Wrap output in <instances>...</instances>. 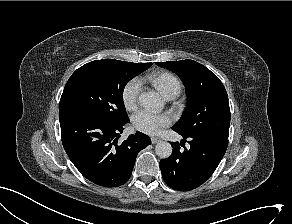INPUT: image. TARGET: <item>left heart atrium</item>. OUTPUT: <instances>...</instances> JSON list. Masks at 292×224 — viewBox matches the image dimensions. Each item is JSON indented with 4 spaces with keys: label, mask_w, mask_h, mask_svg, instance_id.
<instances>
[{
    "label": "left heart atrium",
    "mask_w": 292,
    "mask_h": 224,
    "mask_svg": "<svg viewBox=\"0 0 292 224\" xmlns=\"http://www.w3.org/2000/svg\"><path fill=\"white\" fill-rule=\"evenodd\" d=\"M133 126L146 134H157L170 124L165 114H156L149 110H140L132 118Z\"/></svg>",
    "instance_id": "1"
}]
</instances>
